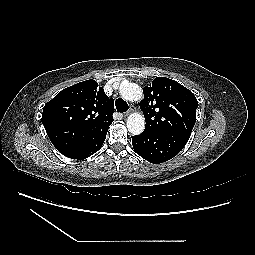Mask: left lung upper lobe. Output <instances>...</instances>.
<instances>
[{
    "mask_svg": "<svg viewBox=\"0 0 255 255\" xmlns=\"http://www.w3.org/2000/svg\"><path fill=\"white\" fill-rule=\"evenodd\" d=\"M143 92L140 107L146 120L145 130L191 135L198 102L190 90L172 79L157 77Z\"/></svg>",
    "mask_w": 255,
    "mask_h": 255,
    "instance_id": "obj_1",
    "label": "left lung upper lobe"
}]
</instances>
